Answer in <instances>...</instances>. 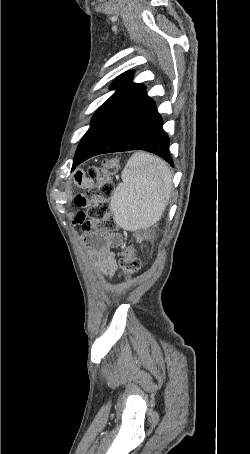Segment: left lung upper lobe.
I'll list each match as a JSON object with an SVG mask.
<instances>
[{"label":"left lung upper lobe","mask_w":250,"mask_h":454,"mask_svg":"<svg viewBox=\"0 0 250 454\" xmlns=\"http://www.w3.org/2000/svg\"><path fill=\"white\" fill-rule=\"evenodd\" d=\"M131 77L132 73L127 72L114 81L112 87L117 88V91L95 113L89 130L85 133L77 148L75 157L83 153L88 142L94 136L100 125L112 113H114L118 108L124 105L128 100L143 89L142 84L132 83Z\"/></svg>","instance_id":"5c2ea615"}]
</instances>
